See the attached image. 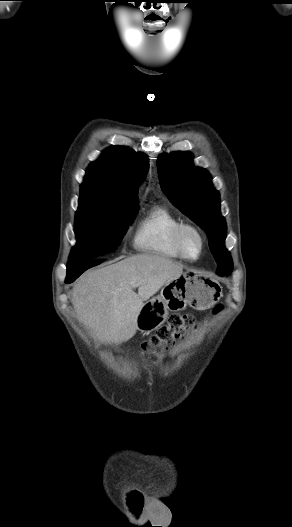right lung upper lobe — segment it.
I'll use <instances>...</instances> for the list:
<instances>
[{"label":"right lung upper lobe","mask_w":292,"mask_h":527,"mask_svg":"<svg viewBox=\"0 0 292 527\" xmlns=\"http://www.w3.org/2000/svg\"><path fill=\"white\" fill-rule=\"evenodd\" d=\"M149 168L148 156L124 146H112L90 164L80 193L110 202H138V188Z\"/></svg>","instance_id":"1"}]
</instances>
